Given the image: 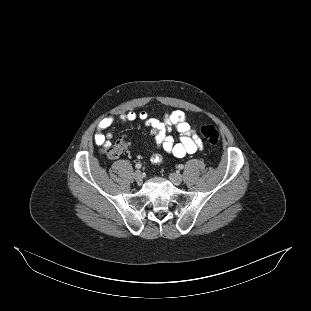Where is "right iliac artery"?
<instances>
[{
    "mask_svg": "<svg viewBox=\"0 0 311 311\" xmlns=\"http://www.w3.org/2000/svg\"><path fill=\"white\" fill-rule=\"evenodd\" d=\"M135 167H136L137 169H140V168L142 167V165H141L140 163H137V164L135 165Z\"/></svg>",
    "mask_w": 311,
    "mask_h": 311,
    "instance_id": "obj_1",
    "label": "right iliac artery"
}]
</instances>
